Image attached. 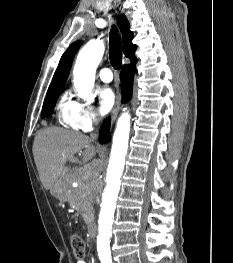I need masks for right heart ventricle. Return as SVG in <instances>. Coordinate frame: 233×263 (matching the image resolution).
Listing matches in <instances>:
<instances>
[{"label":"right heart ventricle","mask_w":233,"mask_h":263,"mask_svg":"<svg viewBox=\"0 0 233 263\" xmlns=\"http://www.w3.org/2000/svg\"><path fill=\"white\" fill-rule=\"evenodd\" d=\"M76 102L67 95H63L57 105V117L60 124L65 127L73 128V114L75 112Z\"/></svg>","instance_id":"right-heart-ventricle-1"}]
</instances>
